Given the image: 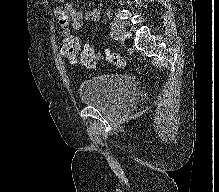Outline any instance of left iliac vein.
Returning <instances> with one entry per match:
<instances>
[{"label":"left iliac vein","mask_w":219,"mask_h":192,"mask_svg":"<svg viewBox=\"0 0 219 192\" xmlns=\"http://www.w3.org/2000/svg\"><path fill=\"white\" fill-rule=\"evenodd\" d=\"M114 32H115L119 42L124 43L125 42V34H126L125 27L122 24L117 23L115 26Z\"/></svg>","instance_id":"1"}]
</instances>
